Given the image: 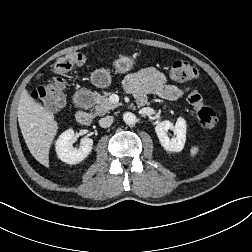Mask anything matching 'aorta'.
<instances>
[{"mask_svg":"<svg viewBox=\"0 0 252 252\" xmlns=\"http://www.w3.org/2000/svg\"><path fill=\"white\" fill-rule=\"evenodd\" d=\"M123 120L128 125H134L136 123V116L130 112L123 114Z\"/></svg>","mask_w":252,"mask_h":252,"instance_id":"aorta-1","label":"aorta"}]
</instances>
